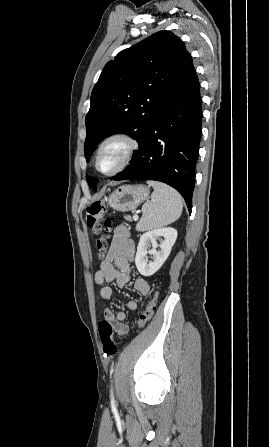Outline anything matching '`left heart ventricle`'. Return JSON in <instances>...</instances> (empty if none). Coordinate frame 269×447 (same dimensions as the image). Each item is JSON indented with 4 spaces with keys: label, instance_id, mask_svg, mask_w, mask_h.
Instances as JSON below:
<instances>
[{
    "label": "left heart ventricle",
    "instance_id": "1",
    "mask_svg": "<svg viewBox=\"0 0 269 447\" xmlns=\"http://www.w3.org/2000/svg\"><path fill=\"white\" fill-rule=\"evenodd\" d=\"M127 149V144L122 140H115L109 143L101 152L99 158V169L109 171L116 167L123 159Z\"/></svg>",
    "mask_w": 269,
    "mask_h": 447
}]
</instances>
